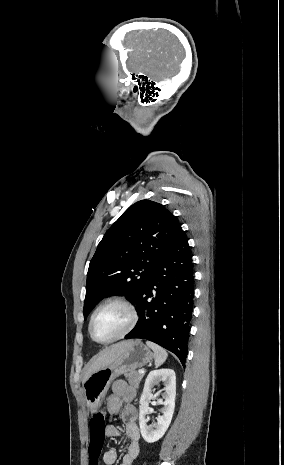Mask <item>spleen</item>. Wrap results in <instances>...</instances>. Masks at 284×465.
Instances as JSON below:
<instances>
[{"label":"spleen","instance_id":"3e777b00","mask_svg":"<svg viewBox=\"0 0 284 465\" xmlns=\"http://www.w3.org/2000/svg\"><path fill=\"white\" fill-rule=\"evenodd\" d=\"M146 345L154 351L156 367L163 365L168 357V353H166L165 349H162L159 345H155V343H150V341H147Z\"/></svg>","mask_w":284,"mask_h":465}]
</instances>
